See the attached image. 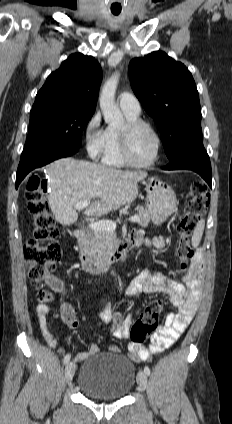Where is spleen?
I'll return each instance as SVG.
<instances>
[{
    "label": "spleen",
    "instance_id": "spleen-1",
    "mask_svg": "<svg viewBox=\"0 0 232 424\" xmlns=\"http://www.w3.org/2000/svg\"><path fill=\"white\" fill-rule=\"evenodd\" d=\"M204 226H205V220L201 219L198 222L197 226L195 227V230H194V233H193V236H192V246L194 248L198 247V245L201 241L203 231H204Z\"/></svg>",
    "mask_w": 232,
    "mask_h": 424
}]
</instances>
